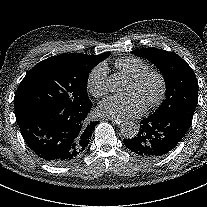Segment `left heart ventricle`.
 <instances>
[{
    "label": "left heart ventricle",
    "mask_w": 207,
    "mask_h": 207,
    "mask_svg": "<svg viewBox=\"0 0 207 207\" xmlns=\"http://www.w3.org/2000/svg\"><path fill=\"white\" fill-rule=\"evenodd\" d=\"M159 92V84L156 79L150 78L141 88H135L131 83L129 84L127 94L137 95L144 106L153 100Z\"/></svg>",
    "instance_id": "b2bd125f"
}]
</instances>
